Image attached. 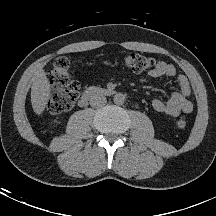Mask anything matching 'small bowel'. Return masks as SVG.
Here are the masks:
<instances>
[{
  "label": "small bowel",
  "instance_id": "1",
  "mask_svg": "<svg viewBox=\"0 0 216 216\" xmlns=\"http://www.w3.org/2000/svg\"><path fill=\"white\" fill-rule=\"evenodd\" d=\"M148 74L156 78H171L176 76V68L170 63L159 61L158 67L150 70ZM177 83L179 90L173 92L169 100L154 99L152 101V107L155 111L170 116H178L182 113H190L193 110V103L188 98L192 91L189 80L185 75L179 74L177 75Z\"/></svg>",
  "mask_w": 216,
  "mask_h": 216
}]
</instances>
